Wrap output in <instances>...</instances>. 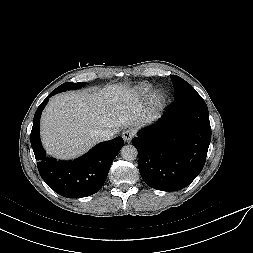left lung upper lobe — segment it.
<instances>
[{"label":"left lung upper lobe","instance_id":"1","mask_svg":"<svg viewBox=\"0 0 253 253\" xmlns=\"http://www.w3.org/2000/svg\"><path fill=\"white\" fill-rule=\"evenodd\" d=\"M171 79L175 88V102L197 93L194 88H192V86L181 77L171 75Z\"/></svg>","mask_w":253,"mask_h":253}]
</instances>
